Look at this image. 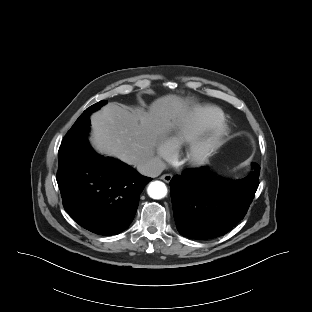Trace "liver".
Returning <instances> with one entry per match:
<instances>
[{"instance_id":"1","label":"liver","mask_w":312,"mask_h":312,"mask_svg":"<svg viewBox=\"0 0 312 312\" xmlns=\"http://www.w3.org/2000/svg\"><path fill=\"white\" fill-rule=\"evenodd\" d=\"M188 115V103L172 94L158 98L149 112L143 113H132L116 103H108L91 115L89 140L98 153L137 166L152 158L157 142L182 126Z\"/></svg>"}]
</instances>
